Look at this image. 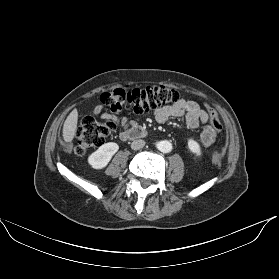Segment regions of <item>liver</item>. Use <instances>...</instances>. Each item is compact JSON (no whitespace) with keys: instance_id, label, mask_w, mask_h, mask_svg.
Masks as SVG:
<instances>
[{"instance_id":"obj_1","label":"liver","mask_w":279,"mask_h":279,"mask_svg":"<svg viewBox=\"0 0 279 279\" xmlns=\"http://www.w3.org/2000/svg\"><path fill=\"white\" fill-rule=\"evenodd\" d=\"M78 121V111L73 109L68 115L63 125V139L66 143H71L76 135Z\"/></svg>"}]
</instances>
